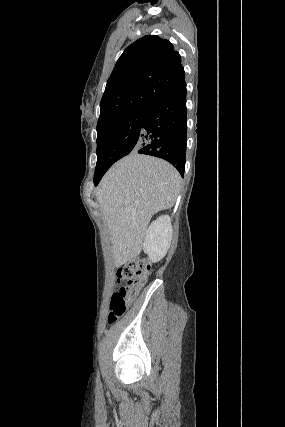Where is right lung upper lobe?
<instances>
[{"label":"right lung upper lobe","mask_w":285,"mask_h":427,"mask_svg":"<svg viewBox=\"0 0 285 427\" xmlns=\"http://www.w3.org/2000/svg\"><path fill=\"white\" fill-rule=\"evenodd\" d=\"M183 83L184 68L173 45L155 35L144 36L128 46L118 59L101 99L97 126L147 108Z\"/></svg>","instance_id":"1"}]
</instances>
